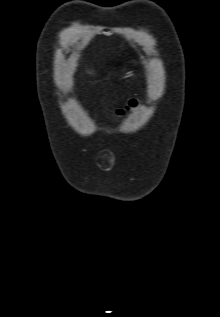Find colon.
Here are the masks:
<instances>
[{"label":"colon","instance_id":"1","mask_svg":"<svg viewBox=\"0 0 220 317\" xmlns=\"http://www.w3.org/2000/svg\"><path fill=\"white\" fill-rule=\"evenodd\" d=\"M137 105V101L136 100H131L129 102V104L123 108H119L116 110L115 115L117 117H122L125 115V113L130 110L131 108H134Z\"/></svg>","mask_w":220,"mask_h":317}]
</instances>
